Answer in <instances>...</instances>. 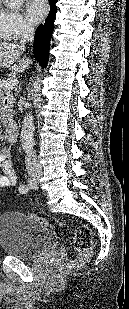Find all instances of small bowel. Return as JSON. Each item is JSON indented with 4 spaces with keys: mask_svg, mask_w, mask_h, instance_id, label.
Listing matches in <instances>:
<instances>
[{
    "mask_svg": "<svg viewBox=\"0 0 129 309\" xmlns=\"http://www.w3.org/2000/svg\"><path fill=\"white\" fill-rule=\"evenodd\" d=\"M10 155L7 150H0V188L11 187L16 184L17 177L9 160Z\"/></svg>",
    "mask_w": 129,
    "mask_h": 309,
    "instance_id": "obj_1",
    "label": "small bowel"
}]
</instances>
